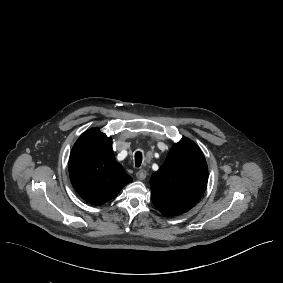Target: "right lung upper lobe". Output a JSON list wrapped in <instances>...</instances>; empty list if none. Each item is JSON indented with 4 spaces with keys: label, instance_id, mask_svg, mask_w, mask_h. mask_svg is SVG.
Segmentation results:
<instances>
[{
    "label": "right lung upper lobe",
    "instance_id": "obj_1",
    "mask_svg": "<svg viewBox=\"0 0 283 283\" xmlns=\"http://www.w3.org/2000/svg\"><path fill=\"white\" fill-rule=\"evenodd\" d=\"M69 174L78 194L93 205H102L113 199L132 182L115 159L112 138L97 128L87 130L74 144Z\"/></svg>",
    "mask_w": 283,
    "mask_h": 283
}]
</instances>
